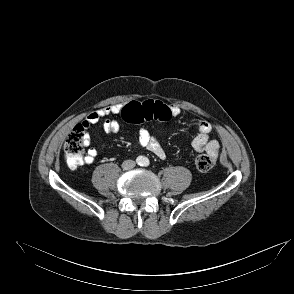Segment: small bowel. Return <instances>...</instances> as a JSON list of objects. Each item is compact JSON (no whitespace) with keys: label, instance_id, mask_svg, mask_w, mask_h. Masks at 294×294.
<instances>
[{"label":"small bowel","instance_id":"c3829d8e","mask_svg":"<svg viewBox=\"0 0 294 294\" xmlns=\"http://www.w3.org/2000/svg\"><path fill=\"white\" fill-rule=\"evenodd\" d=\"M124 104L110 105L90 113L82 122V127L85 130L84 144H91V137L87 130L96 124L101 123L103 129L107 133H117L120 129L119 122L112 118L121 114ZM172 117H178L181 110L177 105H170ZM211 125L205 120H200L196 126V135L192 141V147L197 152H206L207 154L217 157L219 150V142L215 139H210ZM138 144L140 147L147 149L160 159L166 158V152L162 147L158 138L152 136L146 128H140L138 136ZM98 152L95 148L90 147L84 158L85 164H91L97 157Z\"/></svg>","mask_w":294,"mask_h":294}]
</instances>
